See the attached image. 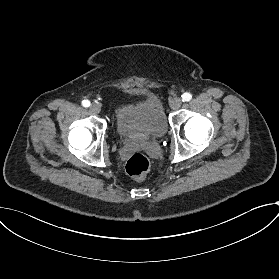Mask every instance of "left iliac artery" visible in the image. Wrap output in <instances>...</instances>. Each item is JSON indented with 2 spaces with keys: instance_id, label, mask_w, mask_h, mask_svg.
<instances>
[{
  "instance_id": "left-iliac-artery-1",
  "label": "left iliac artery",
  "mask_w": 279,
  "mask_h": 279,
  "mask_svg": "<svg viewBox=\"0 0 279 279\" xmlns=\"http://www.w3.org/2000/svg\"><path fill=\"white\" fill-rule=\"evenodd\" d=\"M182 101H189L192 98V95L190 93H184L182 96Z\"/></svg>"
}]
</instances>
